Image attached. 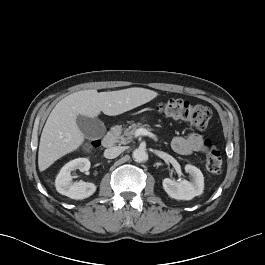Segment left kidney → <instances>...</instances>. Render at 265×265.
Here are the masks:
<instances>
[{
    "instance_id": "obj_1",
    "label": "left kidney",
    "mask_w": 265,
    "mask_h": 265,
    "mask_svg": "<svg viewBox=\"0 0 265 265\" xmlns=\"http://www.w3.org/2000/svg\"><path fill=\"white\" fill-rule=\"evenodd\" d=\"M185 171L191 175V181L183 180L176 182L169 178L163 180V188L165 192L177 200H191L195 196H199L204 190V177L200 169L187 164Z\"/></svg>"
}]
</instances>
